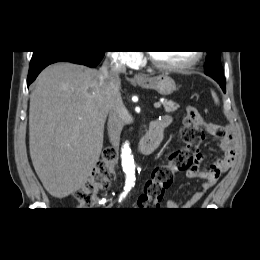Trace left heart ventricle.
I'll return each mask as SVG.
<instances>
[{
    "label": "left heart ventricle",
    "instance_id": "obj_1",
    "mask_svg": "<svg viewBox=\"0 0 260 260\" xmlns=\"http://www.w3.org/2000/svg\"><path fill=\"white\" fill-rule=\"evenodd\" d=\"M153 56L161 63L177 65L193 59L194 51H154Z\"/></svg>",
    "mask_w": 260,
    "mask_h": 260
}]
</instances>
